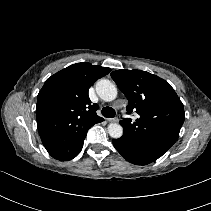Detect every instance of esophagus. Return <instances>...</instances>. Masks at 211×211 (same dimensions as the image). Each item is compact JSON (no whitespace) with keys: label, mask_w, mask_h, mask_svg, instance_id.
I'll list each match as a JSON object with an SVG mask.
<instances>
[{"label":"esophagus","mask_w":211,"mask_h":211,"mask_svg":"<svg viewBox=\"0 0 211 211\" xmlns=\"http://www.w3.org/2000/svg\"><path fill=\"white\" fill-rule=\"evenodd\" d=\"M107 121H109V122H118L119 119L117 117H115V118H109V119H107Z\"/></svg>","instance_id":"esophagus-1"}]
</instances>
